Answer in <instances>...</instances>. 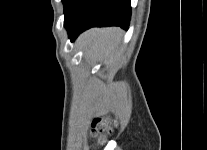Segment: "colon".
<instances>
[{
	"label": "colon",
	"mask_w": 207,
	"mask_h": 150,
	"mask_svg": "<svg viewBox=\"0 0 207 150\" xmlns=\"http://www.w3.org/2000/svg\"><path fill=\"white\" fill-rule=\"evenodd\" d=\"M116 122L109 118H97L91 125L92 135L97 139L98 143H103L108 134L115 128Z\"/></svg>",
	"instance_id": "obj_1"
}]
</instances>
